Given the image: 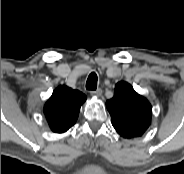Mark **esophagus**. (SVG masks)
<instances>
[{
	"mask_svg": "<svg viewBox=\"0 0 184 174\" xmlns=\"http://www.w3.org/2000/svg\"><path fill=\"white\" fill-rule=\"evenodd\" d=\"M92 96L94 97H100L102 94V90L101 89H97V90H93L90 92Z\"/></svg>",
	"mask_w": 184,
	"mask_h": 174,
	"instance_id": "1",
	"label": "esophagus"
}]
</instances>
